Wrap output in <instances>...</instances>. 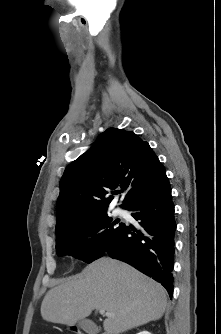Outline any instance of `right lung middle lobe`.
<instances>
[{
    "mask_svg": "<svg viewBox=\"0 0 221 334\" xmlns=\"http://www.w3.org/2000/svg\"><path fill=\"white\" fill-rule=\"evenodd\" d=\"M116 222L107 214L93 218L87 222L68 227L61 235L56 237V252L58 256L71 255L78 257L87 263L100 258L120 236L125 224L114 226ZM97 234V240L92 248L83 245L85 251L80 250V246L87 236Z\"/></svg>",
    "mask_w": 221,
    "mask_h": 334,
    "instance_id": "dd1d6c3e",
    "label": "right lung middle lobe"
}]
</instances>
